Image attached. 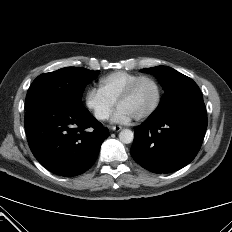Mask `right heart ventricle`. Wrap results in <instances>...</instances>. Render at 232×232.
Listing matches in <instances>:
<instances>
[{
	"label": "right heart ventricle",
	"mask_w": 232,
	"mask_h": 232,
	"mask_svg": "<svg viewBox=\"0 0 232 232\" xmlns=\"http://www.w3.org/2000/svg\"><path fill=\"white\" fill-rule=\"evenodd\" d=\"M139 76L141 75L125 71L113 72L99 79L98 89L115 104L128 86Z\"/></svg>",
	"instance_id": "1"
}]
</instances>
